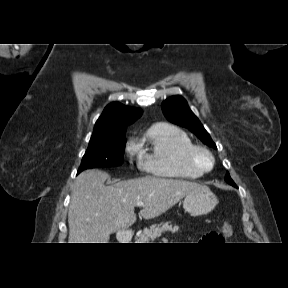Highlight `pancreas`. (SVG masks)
<instances>
[{
  "instance_id": "1",
  "label": "pancreas",
  "mask_w": 288,
  "mask_h": 288,
  "mask_svg": "<svg viewBox=\"0 0 288 288\" xmlns=\"http://www.w3.org/2000/svg\"><path fill=\"white\" fill-rule=\"evenodd\" d=\"M179 230L177 225L172 226L171 222L161 223L158 225H152L150 228L144 229V231L136 238L137 243H149L156 238L160 237L162 233L172 232L175 233Z\"/></svg>"
}]
</instances>
